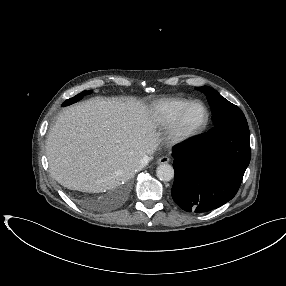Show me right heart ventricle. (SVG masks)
Instances as JSON below:
<instances>
[{
	"label": "right heart ventricle",
	"mask_w": 286,
	"mask_h": 286,
	"mask_svg": "<svg viewBox=\"0 0 286 286\" xmlns=\"http://www.w3.org/2000/svg\"><path fill=\"white\" fill-rule=\"evenodd\" d=\"M192 102L186 98H163L153 102L148 111V119L154 128L169 127Z\"/></svg>",
	"instance_id": "e07e8e85"
}]
</instances>
